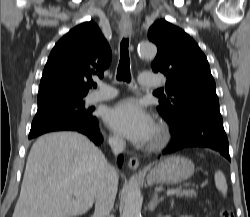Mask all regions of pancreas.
Here are the masks:
<instances>
[{
  "mask_svg": "<svg viewBox=\"0 0 250 217\" xmlns=\"http://www.w3.org/2000/svg\"><path fill=\"white\" fill-rule=\"evenodd\" d=\"M177 192L175 193L177 196H185V197H196L197 193L195 190H181L180 188L174 189Z\"/></svg>",
  "mask_w": 250,
  "mask_h": 217,
  "instance_id": "pancreas-1",
  "label": "pancreas"
}]
</instances>
